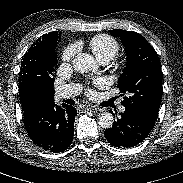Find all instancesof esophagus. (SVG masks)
Here are the masks:
<instances>
[{
    "mask_svg": "<svg viewBox=\"0 0 183 183\" xmlns=\"http://www.w3.org/2000/svg\"><path fill=\"white\" fill-rule=\"evenodd\" d=\"M85 109H88V110H91L93 112H97L99 111V108L95 107V106H92V105H86L84 106Z\"/></svg>",
    "mask_w": 183,
    "mask_h": 183,
    "instance_id": "1",
    "label": "esophagus"
}]
</instances>
